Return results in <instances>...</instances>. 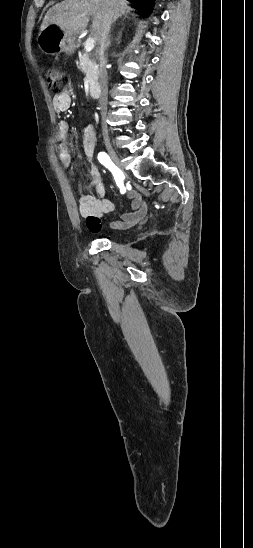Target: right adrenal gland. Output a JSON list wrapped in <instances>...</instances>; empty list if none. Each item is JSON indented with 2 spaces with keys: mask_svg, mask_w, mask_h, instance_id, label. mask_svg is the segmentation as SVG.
Here are the masks:
<instances>
[{
  "mask_svg": "<svg viewBox=\"0 0 253 548\" xmlns=\"http://www.w3.org/2000/svg\"><path fill=\"white\" fill-rule=\"evenodd\" d=\"M110 44H111V40H110V35H109L106 46L109 47Z\"/></svg>",
  "mask_w": 253,
  "mask_h": 548,
  "instance_id": "1",
  "label": "right adrenal gland"
}]
</instances>
